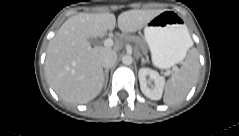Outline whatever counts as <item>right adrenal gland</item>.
<instances>
[{"mask_svg":"<svg viewBox=\"0 0 239 136\" xmlns=\"http://www.w3.org/2000/svg\"><path fill=\"white\" fill-rule=\"evenodd\" d=\"M109 70H110V68H106L105 71H104L105 87L107 86V83H108Z\"/></svg>","mask_w":239,"mask_h":136,"instance_id":"right-adrenal-gland-1","label":"right adrenal gland"}]
</instances>
